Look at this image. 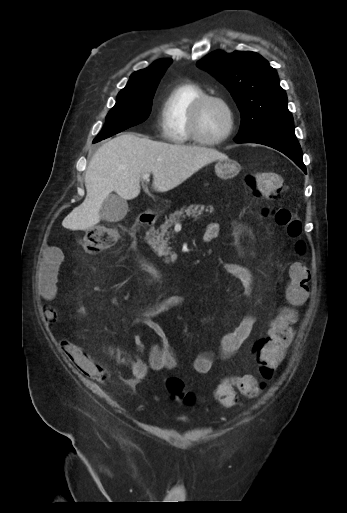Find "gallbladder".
<instances>
[{
  "mask_svg": "<svg viewBox=\"0 0 347 513\" xmlns=\"http://www.w3.org/2000/svg\"><path fill=\"white\" fill-rule=\"evenodd\" d=\"M127 212V202L116 194H110L102 203L100 216L108 222H118L126 216Z\"/></svg>",
  "mask_w": 347,
  "mask_h": 513,
  "instance_id": "1",
  "label": "gallbladder"
}]
</instances>
